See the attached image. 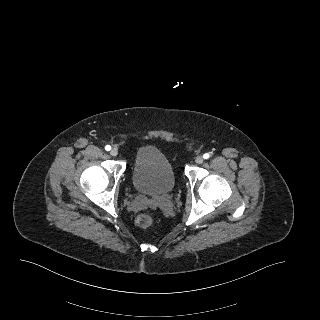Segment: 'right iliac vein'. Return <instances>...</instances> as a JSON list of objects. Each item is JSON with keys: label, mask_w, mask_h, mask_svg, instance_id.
Returning <instances> with one entry per match:
<instances>
[{"label": "right iliac vein", "mask_w": 320, "mask_h": 320, "mask_svg": "<svg viewBox=\"0 0 320 320\" xmlns=\"http://www.w3.org/2000/svg\"><path fill=\"white\" fill-rule=\"evenodd\" d=\"M110 154H111L112 156H117V154H118L117 149H116V148H113V149L110 151Z\"/></svg>", "instance_id": "right-iliac-vein-1"}]
</instances>
